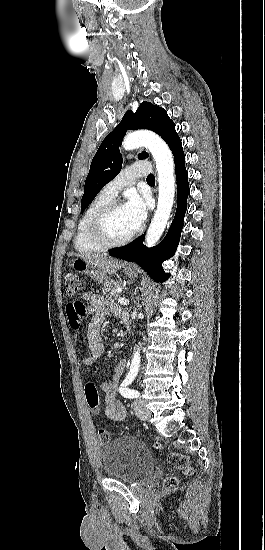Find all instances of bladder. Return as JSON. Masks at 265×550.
<instances>
[{
	"label": "bladder",
	"instance_id": "bladder-1",
	"mask_svg": "<svg viewBox=\"0 0 265 550\" xmlns=\"http://www.w3.org/2000/svg\"><path fill=\"white\" fill-rule=\"evenodd\" d=\"M106 476L129 484L145 481L154 471V454L133 436H122L105 445L101 452Z\"/></svg>",
	"mask_w": 265,
	"mask_h": 550
}]
</instances>
